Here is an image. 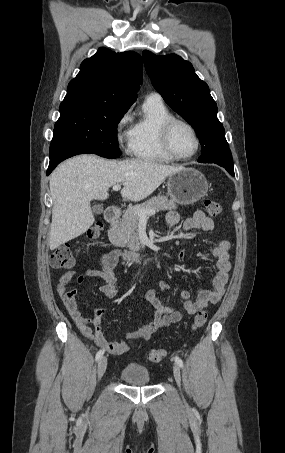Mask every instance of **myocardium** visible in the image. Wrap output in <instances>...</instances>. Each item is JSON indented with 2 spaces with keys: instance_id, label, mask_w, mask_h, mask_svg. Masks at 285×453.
<instances>
[{
  "instance_id": "obj_1",
  "label": "myocardium",
  "mask_w": 285,
  "mask_h": 453,
  "mask_svg": "<svg viewBox=\"0 0 285 453\" xmlns=\"http://www.w3.org/2000/svg\"><path fill=\"white\" fill-rule=\"evenodd\" d=\"M178 124H182V125L186 126L191 131V133L193 134V137L195 139L194 151L191 154L186 155V156L178 154L174 150L172 143H171V136H172L173 129ZM160 138H161V144H162L164 150L166 151V153L169 154L172 158H174L176 160H188V159L194 157L200 148V139H199V135H198L195 127L190 122H188L184 119L173 117V118L167 120L162 125L161 132H160Z\"/></svg>"
}]
</instances>
